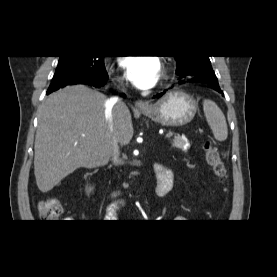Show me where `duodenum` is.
<instances>
[{"label":"duodenum","instance_id":"obj_1","mask_svg":"<svg viewBox=\"0 0 277 277\" xmlns=\"http://www.w3.org/2000/svg\"><path fill=\"white\" fill-rule=\"evenodd\" d=\"M159 180L165 182L167 185H169L171 183V176H170V174H168V169L165 166L160 168V177H158V179H157L156 192L158 190V181ZM169 190H170V188L168 189V191L165 194L159 195V196L166 195L169 192ZM120 194H121L120 191L115 190V191L111 192L109 195L110 201L114 205V208L119 204Z\"/></svg>","mask_w":277,"mask_h":277}]
</instances>
